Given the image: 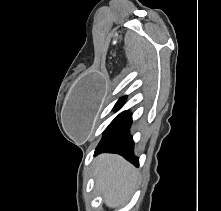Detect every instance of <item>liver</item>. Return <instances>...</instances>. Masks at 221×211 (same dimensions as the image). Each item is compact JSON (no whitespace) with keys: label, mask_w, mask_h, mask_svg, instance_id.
Instances as JSON below:
<instances>
[{"label":"liver","mask_w":221,"mask_h":211,"mask_svg":"<svg viewBox=\"0 0 221 211\" xmlns=\"http://www.w3.org/2000/svg\"><path fill=\"white\" fill-rule=\"evenodd\" d=\"M96 187L105 204L117 208L127 202L137 180L136 169L116 154H101L95 159Z\"/></svg>","instance_id":"liver-1"}]
</instances>
